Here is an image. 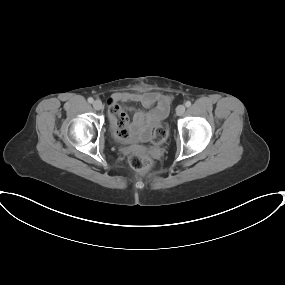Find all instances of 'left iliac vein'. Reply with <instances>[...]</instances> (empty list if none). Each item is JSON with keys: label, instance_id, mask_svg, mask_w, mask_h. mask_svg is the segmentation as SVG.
<instances>
[{"label": "left iliac vein", "instance_id": "4c4485c4", "mask_svg": "<svg viewBox=\"0 0 285 285\" xmlns=\"http://www.w3.org/2000/svg\"><path fill=\"white\" fill-rule=\"evenodd\" d=\"M185 112V106L184 105H179L177 108H176V113L177 115L181 116L183 115Z\"/></svg>", "mask_w": 285, "mask_h": 285}]
</instances>
